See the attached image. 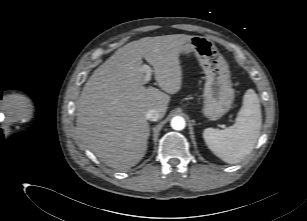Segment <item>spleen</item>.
<instances>
[{
  "label": "spleen",
  "mask_w": 307,
  "mask_h": 221,
  "mask_svg": "<svg viewBox=\"0 0 307 221\" xmlns=\"http://www.w3.org/2000/svg\"><path fill=\"white\" fill-rule=\"evenodd\" d=\"M261 125L259 97L252 89H248L243 97V106L238 112L236 124L224 130L206 128L203 138L217 157L226 163L236 164L254 149Z\"/></svg>",
  "instance_id": "spleen-1"
}]
</instances>
